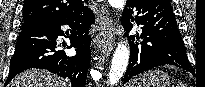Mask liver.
<instances>
[{
    "instance_id": "6515ba94",
    "label": "liver",
    "mask_w": 205,
    "mask_h": 87,
    "mask_svg": "<svg viewBox=\"0 0 205 87\" xmlns=\"http://www.w3.org/2000/svg\"><path fill=\"white\" fill-rule=\"evenodd\" d=\"M9 87H71V85L50 72L28 70L17 75Z\"/></svg>"
}]
</instances>
